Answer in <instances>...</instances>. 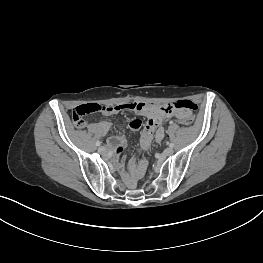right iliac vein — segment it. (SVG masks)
I'll return each mask as SVG.
<instances>
[{"label": "right iliac vein", "instance_id": "obj_1", "mask_svg": "<svg viewBox=\"0 0 263 263\" xmlns=\"http://www.w3.org/2000/svg\"><path fill=\"white\" fill-rule=\"evenodd\" d=\"M98 151H99V153L102 154V155L106 154V149H105L103 146L99 147V148H98Z\"/></svg>", "mask_w": 263, "mask_h": 263}]
</instances>
